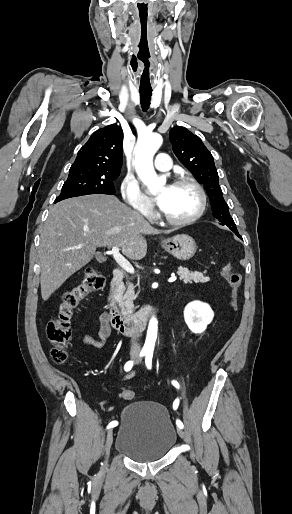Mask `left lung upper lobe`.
<instances>
[{"instance_id": "left-lung-upper-lobe-1", "label": "left lung upper lobe", "mask_w": 292, "mask_h": 514, "mask_svg": "<svg viewBox=\"0 0 292 514\" xmlns=\"http://www.w3.org/2000/svg\"><path fill=\"white\" fill-rule=\"evenodd\" d=\"M172 149L179 161L201 183L209 198L213 217L223 226L238 233L236 225L229 213L218 181L214 159L201 139L181 126L173 127L169 132Z\"/></svg>"}]
</instances>
